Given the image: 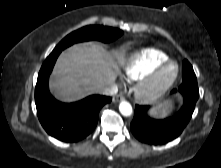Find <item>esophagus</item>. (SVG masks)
Wrapping results in <instances>:
<instances>
[{
    "mask_svg": "<svg viewBox=\"0 0 221 168\" xmlns=\"http://www.w3.org/2000/svg\"><path fill=\"white\" fill-rule=\"evenodd\" d=\"M123 99H124V96L122 94H119L113 97V102L117 103L119 101H122Z\"/></svg>",
    "mask_w": 221,
    "mask_h": 168,
    "instance_id": "1",
    "label": "esophagus"
}]
</instances>
